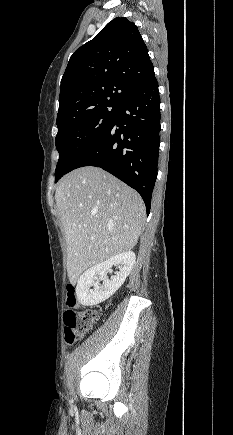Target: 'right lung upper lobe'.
<instances>
[{
  "instance_id": "obj_1",
  "label": "right lung upper lobe",
  "mask_w": 233,
  "mask_h": 435,
  "mask_svg": "<svg viewBox=\"0 0 233 435\" xmlns=\"http://www.w3.org/2000/svg\"><path fill=\"white\" fill-rule=\"evenodd\" d=\"M153 74L136 25L113 19L71 56L61 80L57 123L99 106H119Z\"/></svg>"
}]
</instances>
